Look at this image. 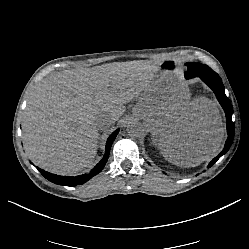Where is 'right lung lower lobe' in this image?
I'll return each mask as SVG.
<instances>
[{"label": "right lung lower lobe", "instance_id": "98d812e1", "mask_svg": "<svg viewBox=\"0 0 249 249\" xmlns=\"http://www.w3.org/2000/svg\"><path fill=\"white\" fill-rule=\"evenodd\" d=\"M118 132H119V130H116L115 132H113L109 136L107 143H106V150H105L104 157L89 174H84V175H80V176H76V177H69V176H59L56 174H52V173L46 172L40 168H38V170L42 173V175L46 179H48L49 181H51L55 184H59V185H63V186L81 185L102 171V169L104 168V166L107 162V159L109 157L111 145H112L113 141L115 140Z\"/></svg>", "mask_w": 249, "mask_h": 249}]
</instances>
